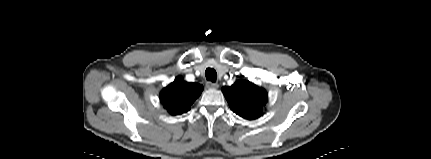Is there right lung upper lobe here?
<instances>
[{
	"instance_id": "1",
	"label": "right lung upper lobe",
	"mask_w": 431,
	"mask_h": 159,
	"mask_svg": "<svg viewBox=\"0 0 431 159\" xmlns=\"http://www.w3.org/2000/svg\"><path fill=\"white\" fill-rule=\"evenodd\" d=\"M202 90V85L183 82V78L179 76L163 89L160 94V101L172 115L182 114L190 110V105Z\"/></svg>"
}]
</instances>
